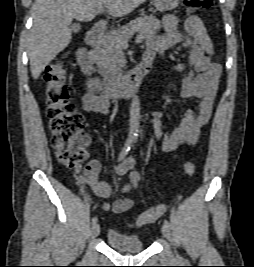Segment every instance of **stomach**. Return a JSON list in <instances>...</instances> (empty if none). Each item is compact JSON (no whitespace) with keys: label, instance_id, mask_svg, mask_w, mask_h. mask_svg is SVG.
Masks as SVG:
<instances>
[{"label":"stomach","instance_id":"1","mask_svg":"<svg viewBox=\"0 0 254 267\" xmlns=\"http://www.w3.org/2000/svg\"><path fill=\"white\" fill-rule=\"evenodd\" d=\"M152 3L158 11L164 12L175 9L180 0H152Z\"/></svg>","mask_w":254,"mask_h":267}]
</instances>
